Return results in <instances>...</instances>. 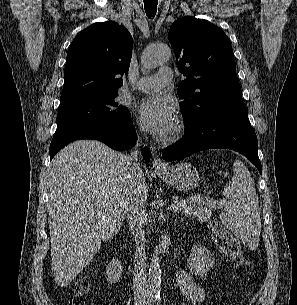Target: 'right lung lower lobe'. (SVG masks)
I'll list each match as a JSON object with an SVG mask.
<instances>
[{
    "instance_id": "1",
    "label": "right lung lower lobe",
    "mask_w": 297,
    "mask_h": 305,
    "mask_svg": "<svg viewBox=\"0 0 297 305\" xmlns=\"http://www.w3.org/2000/svg\"><path fill=\"white\" fill-rule=\"evenodd\" d=\"M78 139H94L101 141L115 150L130 149L135 145L136 133L132 120L125 123L91 124L72 131L57 142L50 144V160L68 143ZM142 155L146 161L150 159L148 148H143Z\"/></svg>"
}]
</instances>
